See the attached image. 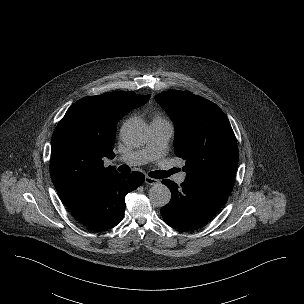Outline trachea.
Listing matches in <instances>:
<instances>
[{
    "label": "trachea",
    "instance_id": "3493384b",
    "mask_svg": "<svg viewBox=\"0 0 304 304\" xmlns=\"http://www.w3.org/2000/svg\"><path fill=\"white\" fill-rule=\"evenodd\" d=\"M119 171L120 172H129L130 169L127 165H122V166L119 167ZM176 172H177V169H175V168H173L169 171L156 170V171L150 172L149 176L152 177V178L160 179V178H166V177H168L171 174L176 173Z\"/></svg>",
    "mask_w": 304,
    "mask_h": 304
}]
</instances>
